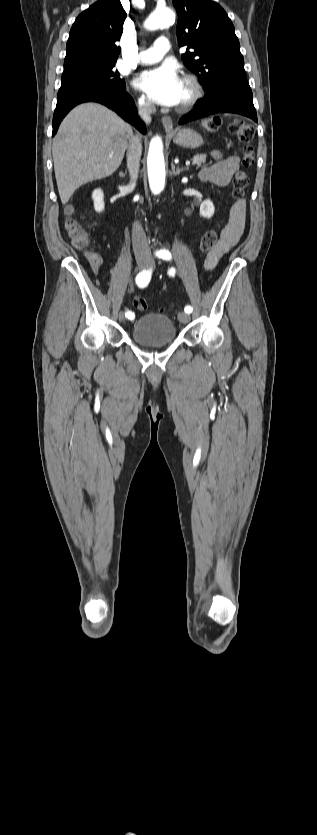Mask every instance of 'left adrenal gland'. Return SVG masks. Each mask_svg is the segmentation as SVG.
Wrapping results in <instances>:
<instances>
[{"label": "left adrenal gland", "instance_id": "obj_1", "mask_svg": "<svg viewBox=\"0 0 317 835\" xmlns=\"http://www.w3.org/2000/svg\"><path fill=\"white\" fill-rule=\"evenodd\" d=\"M171 167H172V174H173V175H179V174H180V172H182V171H184V170H187V168H179V167H177V168L175 169V165H174L173 163L171 164Z\"/></svg>", "mask_w": 317, "mask_h": 835}]
</instances>
